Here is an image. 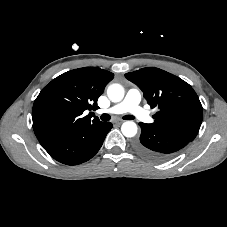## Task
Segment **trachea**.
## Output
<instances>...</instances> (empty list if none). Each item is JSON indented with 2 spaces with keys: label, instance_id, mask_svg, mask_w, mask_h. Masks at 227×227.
Here are the masks:
<instances>
[{
  "label": "trachea",
  "instance_id": "1",
  "mask_svg": "<svg viewBox=\"0 0 227 227\" xmlns=\"http://www.w3.org/2000/svg\"><path fill=\"white\" fill-rule=\"evenodd\" d=\"M100 118H101L102 121H109L111 117H110L109 114H102ZM123 119H125V120H133L134 117L132 115H125L123 117Z\"/></svg>",
  "mask_w": 227,
  "mask_h": 227
}]
</instances>
